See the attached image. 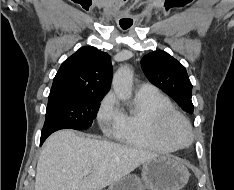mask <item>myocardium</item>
<instances>
[{"label": "myocardium", "instance_id": "f54148a6", "mask_svg": "<svg viewBox=\"0 0 234 190\" xmlns=\"http://www.w3.org/2000/svg\"><path fill=\"white\" fill-rule=\"evenodd\" d=\"M175 121L180 122L187 132V141L185 143H176L169 136V128ZM156 132L163 142L170 145L175 150L188 147L192 143L194 138L193 129L189 120L182 113L175 110L174 108L164 110L158 115L156 121Z\"/></svg>", "mask_w": 234, "mask_h": 190}]
</instances>
